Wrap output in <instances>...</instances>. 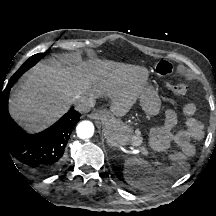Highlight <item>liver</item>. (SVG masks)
<instances>
[{
    "label": "liver",
    "instance_id": "1",
    "mask_svg": "<svg viewBox=\"0 0 216 216\" xmlns=\"http://www.w3.org/2000/svg\"><path fill=\"white\" fill-rule=\"evenodd\" d=\"M145 71L116 63L64 66L52 59L36 65L10 98L12 117L28 132H38L66 113L77 96L114 97L113 112L129 109L139 97Z\"/></svg>",
    "mask_w": 216,
    "mask_h": 216
}]
</instances>
